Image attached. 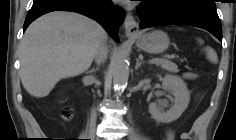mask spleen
I'll list each match as a JSON object with an SVG mask.
<instances>
[{
  "mask_svg": "<svg viewBox=\"0 0 236 140\" xmlns=\"http://www.w3.org/2000/svg\"><path fill=\"white\" fill-rule=\"evenodd\" d=\"M198 41L200 44L203 43V41L201 39H198ZM205 50H206L208 59L210 61H212L213 63H216L217 62V54L215 53V51L210 47H207Z\"/></svg>",
  "mask_w": 236,
  "mask_h": 140,
  "instance_id": "spleen-1",
  "label": "spleen"
}]
</instances>
